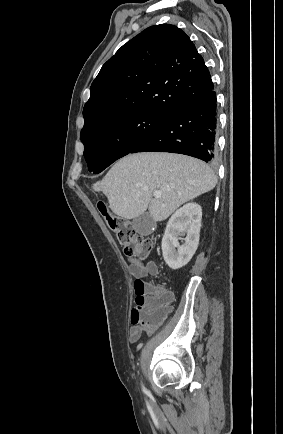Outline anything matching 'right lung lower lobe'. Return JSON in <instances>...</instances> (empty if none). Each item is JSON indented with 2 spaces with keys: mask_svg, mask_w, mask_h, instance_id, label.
Returning <instances> with one entry per match:
<instances>
[{
  "mask_svg": "<svg viewBox=\"0 0 283 434\" xmlns=\"http://www.w3.org/2000/svg\"><path fill=\"white\" fill-rule=\"evenodd\" d=\"M217 112L213 90L172 114L130 153L171 152L212 162L216 156Z\"/></svg>",
  "mask_w": 283,
  "mask_h": 434,
  "instance_id": "obj_1",
  "label": "right lung lower lobe"
}]
</instances>
